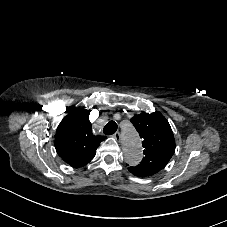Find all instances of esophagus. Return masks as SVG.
<instances>
[{"label": "esophagus", "instance_id": "esophagus-1", "mask_svg": "<svg viewBox=\"0 0 227 227\" xmlns=\"http://www.w3.org/2000/svg\"><path fill=\"white\" fill-rule=\"evenodd\" d=\"M113 138L116 140V141H120V133L119 132H116L114 135H113Z\"/></svg>", "mask_w": 227, "mask_h": 227}]
</instances>
